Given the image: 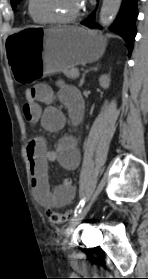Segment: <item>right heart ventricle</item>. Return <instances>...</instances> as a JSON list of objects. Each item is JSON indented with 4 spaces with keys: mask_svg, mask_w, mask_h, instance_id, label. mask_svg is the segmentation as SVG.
I'll return each mask as SVG.
<instances>
[{
    "mask_svg": "<svg viewBox=\"0 0 148 279\" xmlns=\"http://www.w3.org/2000/svg\"><path fill=\"white\" fill-rule=\"evenodd\" d=\"M31 16H32V15H31ZM33 20H34L35 22H37V23H42V22H40V21H38V20H36V19H34V18H33Z\"/></svg>",
    "mask_w": 148,
    "mask_h": 279,
    "instance_id": "1",
    "label": "right heart ventricle"
}]
</instances>
